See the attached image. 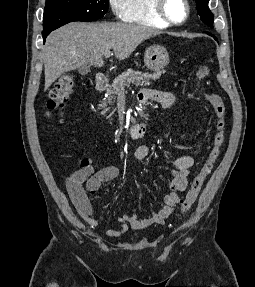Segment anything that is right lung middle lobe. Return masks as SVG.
Segmentation results:
<instances>
[{"mask_svg": "<svg viewBox=\"0 0 255 287\" xmlns=\"http://www.w3.org/2000/svg\"><path fill=\"white\" fill-rule=\"evenodd\" d=\"M109 0H46L43 33L51 32L69 22H88L102 18Z\"/></svg>", "mask_w": 255, "mask_h": 287, "instance_id": "1", "label": "right lung middle lobe"}]
</instances>
